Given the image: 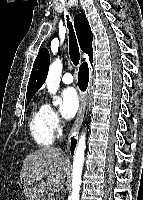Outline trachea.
I'll return each mask as SVG.
<instances>
[{"mask_svg": "<svg viewBox=\"0 0 143 200\" xmlns=\"http://www.w3.org/2000/svg\"><path fill=\"white\" fill-rule=\"evenodd\" d=\"M67 26L69 28V55L73 64L77 66L80 60V53L72 23L69 22V17H67Z\"/></svg>", "mask_w": 143, "mask_h": 200, "instance_id": "1", "label": "trachea"}]
</instances>
